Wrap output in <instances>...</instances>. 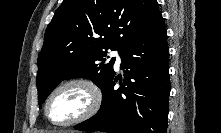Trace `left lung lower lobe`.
<instances>
[{"label": "left lung lower lobe", "mask_w": 221, "mask_h": 133, "mask_svg": "<svg viewBox=\"0 0 221 133\" xmlns=\"http://www.w3.org/2000/svg\"><path fill=\"white\" fill-rule=\"evenodd\" d=\"M166 38L160 16L131 39L119 52L120 68L126 69L124 85L114 89L118 76L113 73L102 90L98 113L74 128L109 133H166L171 89Z\"/></svg>", "instance_id": "1"}]
</instances>
